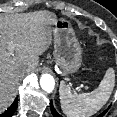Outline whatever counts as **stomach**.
Instances as JSON below:
<instances>
[{
    "mask_svg": "<svg viewBox=\"0 0 117 117\" xmlns=\"http://www.w3.org/2000/svg\"><path fill=\"white\" fill-rule=\"evenodd\" d=\"M54 59L65 73L81 66L82 49L69 20L56 18L53 24Z\"/></svg>",
    "mask_w": 117,
    "mask_h": 117,
    "instance_id": "obj_1",
    "label": "stomach"
}]
</instances>
